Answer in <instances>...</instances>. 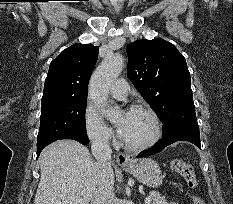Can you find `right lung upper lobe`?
Here are the masks:
<instances>
[{"mask_svg":"<svg viewBox=\"0 0 233 204\" xmlns=\"http://www.w3.org/2000/svg\"><path fill=\"white\" fill-rule=\"evenodd\" d=\"M98 50L97 46L81 43L63 50L50 63L41 102L87 98L88 81Z\"/></svg>","mask_w":233,"mask_h":204,"instance_id":"right-lung-upper-lobe-1","label":"right lung upper lobe"}]
</instances>
